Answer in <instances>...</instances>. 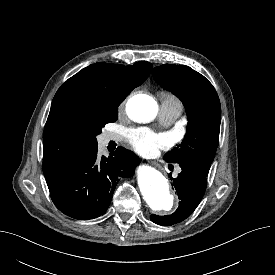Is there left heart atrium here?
Instances as JSON below:
<instances>
[{
	"label": "left heart atrium",
	"mask_w": 275,
	"mask_h": 275,
	"mask_svg": "<svg viewBox=\"0 0 275 275\" xmlns=\"http://www.w3.org/2000/svg\"><path fill=\"white\" fill-rule=\"evenodd\" d=\"M127 136L133 147L143 154H154L171 144L166 134L156 133L147 128L131 129L127 132Z\"/></svg>",
	"instance_id": "left-heart-atrium-1"
}]
</instances>
